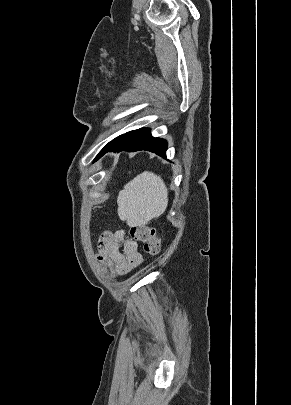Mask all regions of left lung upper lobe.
I'll use <instances>...</instances> for the list:
<instances>
[{
    "mask_svg": "<svg viewBox=\"0 0 291 405\" xmlns=\"http://www.w3.org/2000/svg\"><path fill=\"white\" fill-rule=\"evenodd\" d=\"M120 136H121V135H120ZM120 136H118L117 138L113 139V140H112L111 142H109L106 146H108V145L114 143Z\"/></svg>",
    "mask_w": 291,
    "mask_h": 405,
    "instance_id": "left-lung-upper-lobe-1",
    "label": "left lung upper lobe"
}]
</instances>
